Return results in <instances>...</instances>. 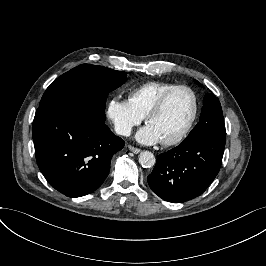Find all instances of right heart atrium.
Returning <instances> with one entry per match:
<instances>
[{
    "label": "right heart atrium",
    "instance_id": "right-heart-atrium-1",
    "mask_svg": "<svg viewBox=\"0 0 266 266\" xmlns=\"http://www.w3.org/2000/svg\"><path fill=\"white\" fill-rule=\"evenodd\" d=\"M106 114L115 131L120 135L130 134L132 129L143 120V116L136 111L129 99L116 95L108 99Z\"/></svg>",
    "mask_w": 266,
    "mask_h": 266
}]
</instances>
